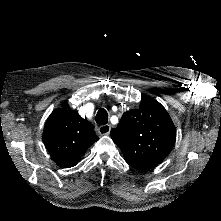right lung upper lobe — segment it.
<instances>
[{"label": "right lung upper lobe", "mask_w": 221, "mask_h": 221, "mask_svg": "<svg viewBox=\"0 0 221 221\" xmlns=\"http://www.w3.org/2000/svg\"><path fill=\"white\" fill-rule=\"evenodd\" d=\"M98 139L89 121L68 110H54L43 132V142L52 159L65 168L75 166Z\"/></svg>", "instance_id": "cb5924a9"}]
</instances>
